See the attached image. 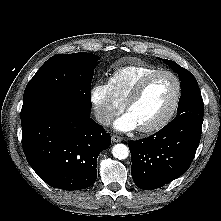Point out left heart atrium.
<instances>
[{
    "label": "left heart atrium",
    "instance_id": "left-heart-atrium-1",
    "mask_svg": "<svg viewBox=\"0 0 221 221\" xmlns=\"http://www.w3.org/2000/svg\"><path fill=\"white\" fill-rule=\"evenodd\" d=\"M138 125L130 113H125L114 122V128L118 131H130Z\"/></svg>",
    "mask_w": 221,
    "mask_h": 221
}]
</instances>
